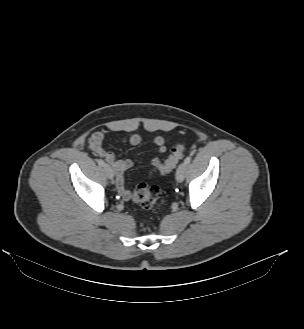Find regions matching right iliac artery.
<instances>
[{"label": "right iliac artery", "instance_id": "82829eb1", "mask_svg": "<svg viewBox=\"0 0 304 329\" xmlns=\"http://www.w3.org/2000/svg\"><path fill=\"white\" fill-rule=\"evenodd\" d=\"M98 164H99L100 166H104V165H105V163H104V161H103L102 159H99V160H98Z\"/></svg>", "mask_w": 304, "mask_h": 329}]
</instances>
